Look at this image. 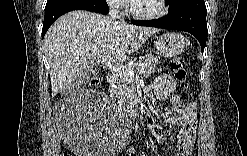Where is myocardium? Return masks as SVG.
I'll return each mask as SVG.
<instances>
[{"instance_id":"myocardium-1","label":"myocardium","mask_w":247,"mask_h":156,"mask_svg":"<svg viewBox=\"0 0 247 156\" xmlns=\"http://www.w3.org/2000/svg\"><path fill=\"white\" fill-rule=\"evenodd\" d=\"M159 3L157 11L149 14H141L139 13L135 6L134 2L129 4V13L132 17L142 21H150L163 17L167 13V6L165 0H157Z\"/></svg>"}]
</instances>
